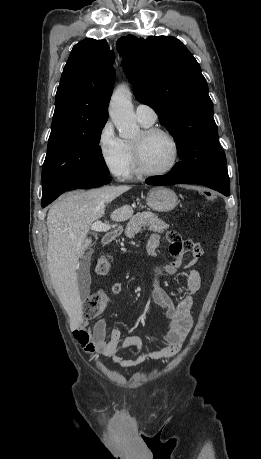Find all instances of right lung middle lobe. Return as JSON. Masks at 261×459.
Here are the masks:
<instances>
[{
    "label": "right lung middle lobe",
    "instance_id": "obj_1",
    "mask_svg": "<svg viewBox=\"0 0 261 459\" xmlns=\"http://www.w3.org/2000/svg\"><path fill=\"white\" fill-rule=\"evenodd\" d=\"M105 123L84 131L49 137L42 168V199L69 182L108 177L109 171L99 147Z\"/></svg>",
    "mask_w": 261,
    "mask_h": 459
}]
</instances>
